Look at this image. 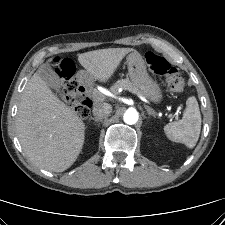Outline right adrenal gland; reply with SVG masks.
I'll return each mask as SVG.
<instances>
[{
  "label": "right adrenal gland",
  "mask_w": 225,
  "mask_h": 225,
  "mask_svg": "<svg viewBox=\"0 0 225 225\" xmlns=\"http://www.w3.org/2000/svg\"><path fill=\"white\" fill-rule=\"evenodd\" d=\"M90 120H93V121H95V122H101L100 119H98V118H93V117H91Z\"/></svg>",
  "instance_id": "2a0ac1e0"
}]
</instances>
